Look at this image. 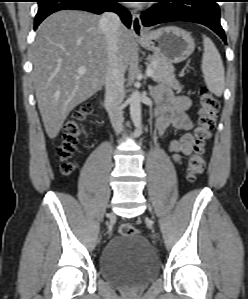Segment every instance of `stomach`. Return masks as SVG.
Listing matches in <instances>:
<instances>
[{"instance_id": "stomach-1", "label": "stomach", "mask_w": 248, "mask_h": 299, "mask_svg": "<svg viewBox=\"0 0 248 299\" xmlns=\"http://www.w3.org/2000/svg\"><path fill=\"white\" fill-rule=\"evenodd\" d=\"M137 40L144 48L170 63L184 61L195 49V42L191 34L175 26L150 31L144 38Z\"/></svg>"}]
</instances>
